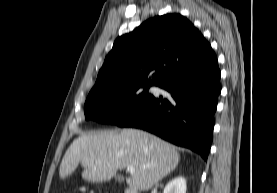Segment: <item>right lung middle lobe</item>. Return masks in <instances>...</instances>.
I'll use <instances>...</instances> for the list:
<instances>
[{"mask_svg":"<svg viewBox=\"0 0 277 193\" xmlns=\"http://www.w3.org/2000/svg\"><path fill=\"white\" fill-rule=\"evenodd\" d=\"M149 87L150 85H135L90 93L84 105L85 119L118 124L151 99Z\"/></svg>","mask_w":277,"mask_h":193,"instance_id":"1","label":"right lung middle lobe"}]
</instances>
